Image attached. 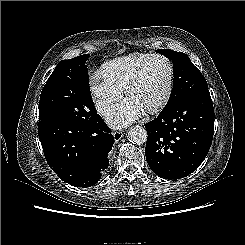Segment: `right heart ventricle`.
Segmentation results:
<instances>
[{
	"label": "right heart ventricle",
	"instance_id": "e07e8e85",
	"mask_svg": "<svg viewBox=\"0 0 245 245\" xmlns=\"http://www.w3.org/2000/svg\"><path fill=\"white\" fill-rule=\"evenodd\" d=\"M149 53H132L105 63L102 73L109 82L123 90Z\"/></svg>",
	"mask_w": 245,
	"mask_h": 245
}]
</instances>
